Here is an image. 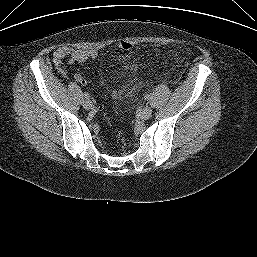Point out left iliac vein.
I'll return each mask as SVG.
<instances>
[{"mask_svg": "<svg viewBox=\"0 0 257 257\" xmlns=\"http://www.w3.org/2000/svg\"><path fill=\"white\" fill-rule=\"evenodd\" d=\"M152 115L151 107H145L140 112V118L143 120L149 119Z\"/></svg>", "mask_w": 257, "mask_h": 257, "instance_id": "4c4485c4", "label": "left iliac vein"}]
</instances>
